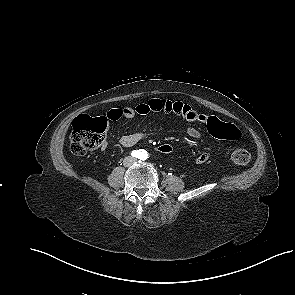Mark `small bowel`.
<instances>
[{"label": "small bowel", "instance_id": "1", "mask_svg": "<svg viewBox=\"0 0 295 295\" xmlns=\"http://www.w3.org/2000/svg\"><path fill=\"white\" fill-rule=\"evenodd\" d=\"M150 112H164V113H174L189 122H199L207 126L211 120H216L221 122L218 118L214 116H209L203 113H199L194 110L188 104H185L181 101H171L168 99L161 98H152L146 102L139 103L135 107H124V108H115L111 109L106 114V119L110 121H117L122 118L132 119L136 115H146ZM186 133L191 138H199L201 133L194 127L189 126L186 130ZM142 139V134L137 132L129 135L122 136L120 139V145L124 148H129L137 144ZM107 148V143L102 144V149ZM209 160L208 153H201L196 158L197 164H204Z\"/></svg>", "mask_w": 295, "mask_h": 295}]
</instances>
